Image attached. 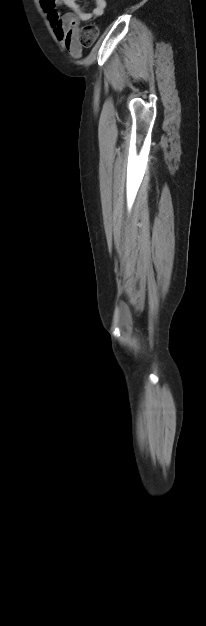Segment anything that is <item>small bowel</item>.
<instances>
[{"label":"small bowel","instance_id":"1","mask_svg":"<svg viewBox=\"0 0 206 626\" xmlns=\"http://www.w3.org/2000/svg\"><path fill=\"white\" fill-rule=\"evenodd\" d=\"M95 6L90 12L84 11L77 0H41L56 38L61 42L67 53L73 58L82 55V44L79 38V25L82 21H89L100 17L106 8V0H94ZM60 6H66L71 11L61 14Z\"/></svg>","mask_w":206,"mask_h":626}]
</instances>
